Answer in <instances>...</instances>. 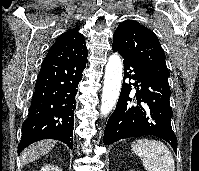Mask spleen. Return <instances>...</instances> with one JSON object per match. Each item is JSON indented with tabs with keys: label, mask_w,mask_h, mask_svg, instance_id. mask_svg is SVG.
Here are the masks:
<instances>
[{
	"label": "spleen",
	"mask_w": 199,
	"mask_h": 171,
	"mask_svg": "<svg viewBox=\"0 0 199 171\" xmlns=\"http://www.w3.org/2000/svg\"><path fill=\"white\" fill-rule=\"evenodd\" d=\"M131 147L142 158L146 171H175L172 153L163 142L143 138L132 142Z\"/></svg>",
	"instance_id": "3e777b00"
}]
</instances>
